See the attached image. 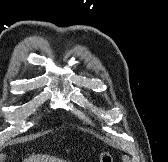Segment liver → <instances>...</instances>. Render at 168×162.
Wrapping results in <instances>:
<instances>
[{
    "label": "liver",
    "instance_id": "6515ba94",
    "mask_svg": "<svg viewBox=\"0 0 168 162\" xmlns=\"http://www.w3.org/2000/svg\"><path fill=\"white\" fill-rule=\"evenodd\" d=\"M23 162H67L66 160L50 155H32L23 160Z\"/></svg>",
    "mask_w": 168,
    "mask_h": 162
}]
</instances>
